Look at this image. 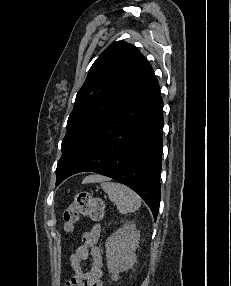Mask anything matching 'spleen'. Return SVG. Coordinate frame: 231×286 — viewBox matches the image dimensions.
<instances>
[{"label": "spleen", "mask_w": 231, "mask_h": 286, "mask_svg": "<svg viewBox=\"0 0 231 286\" xmlns=\"http://www.w3.org/2000/svg\"><path fill=\"white\" fill-rule=\"evenodd\" d=\"M101 188L107 193L110 201L117 205L120 213H132L141 207V198L129 187L103 178L100 180Z\"/></svg>", "instance_id": "1"}]
</instances>
